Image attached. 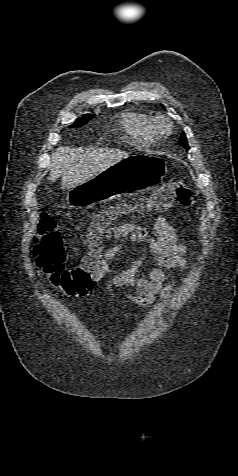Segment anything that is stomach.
Masks as SVG:
<instances>
[{
	"mask_svg": "<svg viewBox=\"0 0 238 476\" xmlns=\"http://www.w3.org/2000/svg\"><path fill=\"white\" fill-rule=\"evenodd\" d=\"M166 171L167 166L159 156H124L118 163L69 189L66 200L72 208L84 209L120 195H137L138 190H151V183H161Z\"/></svg>",
	"mask_w": 238,
	"mask_h": 476,
	"instance_id": "0dacf381",
	"label": "stomach"
}]
</instances>
